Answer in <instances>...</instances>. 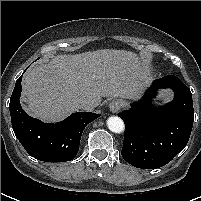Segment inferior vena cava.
Here are the masks:
<instances>
[{"mask_svg":"<svg viewBox=\"0 0 201 201\" xmlns=\"http://www.w3.org/2000/svg\"><path fill=\"white\" fill-rule=\"evenodd\" d=\"M100 103L97 99L81 98L76 101V107L87 111H92Z\"/></svg>","mask_w":201,"mask_h":201,"instance_id":"1","label":"inferior vena cava"}]
</instances>
